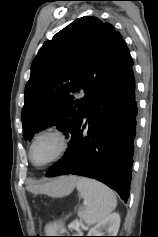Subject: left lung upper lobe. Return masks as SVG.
<instances>
[{"mask_svg":"<svg viewBox=\"0 0 158 237\" xmlns=\"http://www.w3.org/2000/svg\"><path fill=\"white\" fill-rule=\"evenodd\" d=\"M133 60L120 33L96 17H81L40 48L31 66L22 110L23 136L56 124L74 130L90 101ZM84 92L83 98L76 95Z\"/></svg>","mask_w":158,"mask_h":237,"instance_id":"left-lung-upper-lobe-1","label":"left lung upper lobe"}]
</instances>
